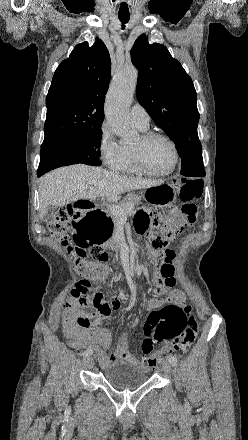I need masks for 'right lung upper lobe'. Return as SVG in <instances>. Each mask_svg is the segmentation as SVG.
<instances>
[{
	"label": "right lung upper lobe",
	"mask_w": 248,
	"mask_h": 440,
	"mask_svg": "<svg viewBox=\"0 0 248 440\" xmlns=\"http://www.w3.org/2000/svg\"><path fill=\"white\" fill-rule=\"evenodd\" d=\"M111 61L105 44H78L56 69L46 97L45 138L101 127Z\"/></svg>",
	"instance_id": "right-lung-upper-lobe-1"
}]
</instances>
